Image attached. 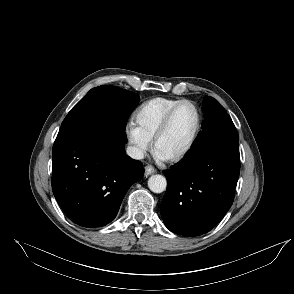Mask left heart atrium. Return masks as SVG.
I'll return each mask as SVG.
<instances>
[{"label": "left heart atrium", "mask_w": 294, "mask_h": 294, "mask_svg": "<svg viewBox=\"0 0 294 294\" xmlns=\"http://www.w3.org/2000/svg\"><path fill=\"white\" fill-rule=\"evenodd\" d=\"M157 153H158V152H157ZM157 156H158L160 159H162V160H163V158H164V157L160 156L159 154H158Z\"/></svg>", "instance_id": "left-heart-atrium-1"}]
</instances>
